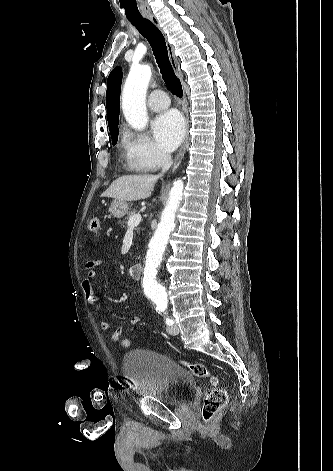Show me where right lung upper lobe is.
Listing matches in <instances>:
<instances>
[{"label":"right lung upper lobe","mask_w":333,"mask_h":471,"mask_svg":"<svg viewBox=\"0 0 333 471\" xmlns=\"http://www.w3.org/2000/svg\"><path fill=\"white\" fill-rule=\"evenodd\" d=\"M122 81V71L120 67H116L107 79L106 105L107 120L110 132L118 126L119 110H120V88Z\"/></svg>","instance_id":"right-lung-upper-lobe-1"}]
</instances>
